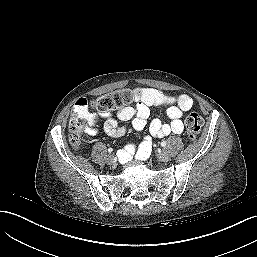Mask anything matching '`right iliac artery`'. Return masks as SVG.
Here are the masks:
<instances>
[{"label": "right iliac artery", "mask_w": 257, "mask_h": 257, "mask_svg": "<svg viewBox=\"0 0 257 257\" xmlns=\"http://www.w3.org/2000/svg\"><path fill=\"white\" fill-rule=\"evenodd\" d=\"M112 151H113L112 148H109V149H108V152H109V153H111ZM121 154H122V152H118V156H119V157H121ZM119 159H120V158H119Z\"/></svg>", "instance_id": "82829eb1"}]
</instances>
